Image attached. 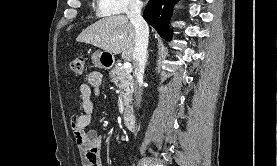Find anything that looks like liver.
I'll use <instances>...</instances> for the list:
<instances>
[{
	"mask_svg": "<svg viewBox=\"0 0 277 166\" xmlns=\"http://www.w3.org/2000/svg\"><path fill=\"white\" fill-rule=\"evenodd\" d=\"M136 32L128 16L117 15L103 18L83 30L76 41L91 44L113 55L132 61Z\"/></svg>",
	"mask_w": 277,
	"mask_h": 166,
	"instance_id": "6515ba94",
	"label": "liver"
}]
</instances>
